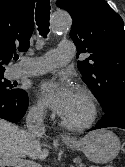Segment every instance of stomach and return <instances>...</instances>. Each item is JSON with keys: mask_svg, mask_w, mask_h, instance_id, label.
I'll list each match as a JSON object with an SVG mask.
<instances>
[{"mask_svg": "<svg viewBox=\"0 0 125 167\" xmlns=\"http://www.w3.org/2000/svg\"><path fill=\"white\" fill-rule=\"evenodd\" d=\"M67 145L82 151L89 160L96 163H107L113 160L121 148L119 138L106 129L90 132L81 140L68 142Z\"/></svg>", "mask_w": 125, "mask_h": 167, "instance_id": "stomach-1", "label": "stomach"}]
</instances>
